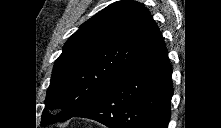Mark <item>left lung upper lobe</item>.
<instances>
[{
    "label": "left lung upper lobe",
    "instance_id": "1",
    "mask_svg": "<svg viewBox=\"0 0 221 128\" xmlns=\"http://www.w3.org/2000/svg\"><path fill=\"white\" fill-rule=\"evenodd\" d=\"M150 12L136 1L110 4L66 41L57 58L43 111L47 125L74 117L102 98L161 38Z\"/></svg>",
    "mask_w": 221,
    "mask_h": 128
}]
</instances>
